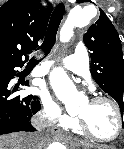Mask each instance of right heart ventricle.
Returning a JSON list of instances; mask_svg holds the SVG:
<instances>
[{"instance_id":"right-heart-ventricle-1","label":"right heart ventricle","mask_w":124,"mask_h":149,"mask_svg":"<svg viewBox=\"0 0 124 149\" xmlns=\"http://www.w3.org/2000/svg\"><path fill=\"white\" fill-rule=\"evenodd\" d=\"M68 127L72 128L77 133H81V131H80V129H79V127H78L76 122L70 124Z\"/></svg>"}]
</instances>
